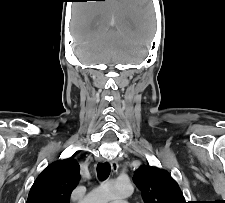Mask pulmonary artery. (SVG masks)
<instances>
[{
  "mask_svg": "<svg viewBox=\"0 0 225 203\" xmlns=\"http://www.w3.org/2000/svg\"><path fill=\"white\" fill-rule=\"evenodd\" d=\"M112 203H127L126 201H114Z\"/></svg>",
  "mask_w": 225,
  "mask_h": 203,
  "instance_id": "pulmonary-artery-1",
  "label": "pulmonary artery"
}]
</instances>
